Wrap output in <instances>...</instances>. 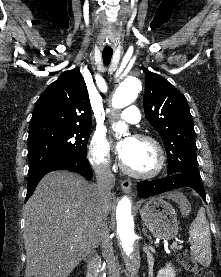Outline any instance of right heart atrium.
<instances>
[{
    "instance_id": "1",
    "label": "right heart atrium",
    "mask_w": 221,
    "mask_h": 277,
    "mask_svg": "<svg viewBox=\"0 0 221 277\" xmlns=\"http://www.w3.org/2000/svg\"><path fill=\"white\" fill-rule=\"evenodd\" d=\"M88 156L92 166L99 171L108 172L111 169L110 143L104 133L93 134L90 143Z\"/></svg>"
}]
</instances>
